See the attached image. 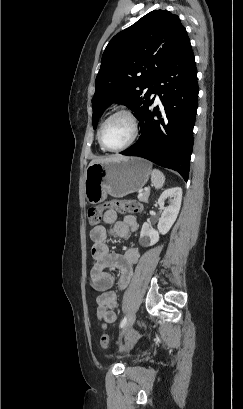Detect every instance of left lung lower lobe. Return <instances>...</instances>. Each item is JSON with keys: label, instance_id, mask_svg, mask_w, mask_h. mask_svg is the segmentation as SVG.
<instances>
[{"label": "left lung lower lobe", "instance_id": "0a47b994", "mask_svg": "<svg viewBox=\"0 0 243 409\" xmlns=\"http://www.w3.org/2000/svg\"><path fill=\"white\" fill-rule=\"evenodd\" d=\"M197 70L188 39L175 53L153 84L160 109L147 100L137 117L141 136L122 155L139 156L177 171L188 180L193 149V127L198 105Z\"/></svg>", "mask_w": 243, "mask_h": 409}]
</instances>
